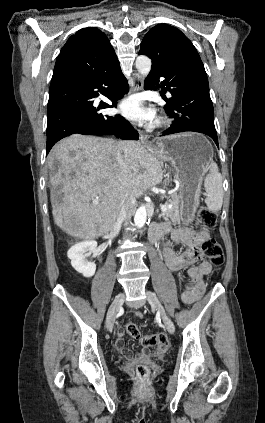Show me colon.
<instances>
[{"label": "colon", "instance_id": "obj_1", "mask_svg": "<svg viewBox=\"0 0 265 423\" xmlns=\"http://www.w3.org/2000/svg\"><path fill=\"white\" fill-rule=\"evenodd\" d=\"M199 221L203 228L210 229L215 226L217 217L213 211L207 208H201L199 211ZM201 248L210 263L216 267L223 264L224 252L217 240L206 238L203 240ZM126 330L129 335L139 340L143 346L151 349L153 353H164L169 347V340L165 334H142L138 326L133 322L127 324ZM136 376L141 381L146 380L149 377L148 367L144 364H139L136 367Z\"/></svg>", "mask_w": 265, "mask_h": 423}]
</instances>
